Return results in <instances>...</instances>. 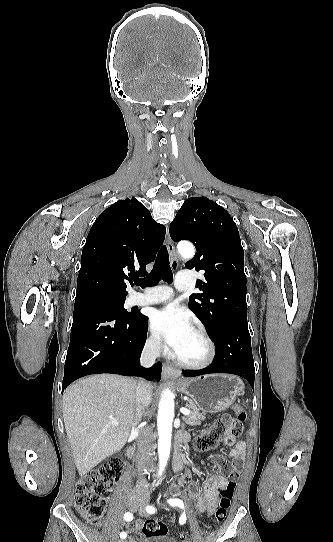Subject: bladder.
Listing matches in <instances>:
<instances>
[{
    "label": "bladder",
    "instance_id": "31cf9c89",
    "mask_svg": "<svg viewBox=\"0 0 333 542\" xmlns=\"http://www.w3.org/2000/svg\"><path fill=\"white\" fill-rule=\"evenodd\" d=\"M143 542H178V541L171 535L152 534V535L147 536Z\"/></svg>",
    "mask_w": 333,
    "mask_h": 542
}]
</instances>
